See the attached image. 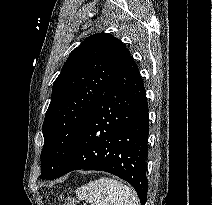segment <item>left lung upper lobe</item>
<instances>
[{"instance_id":"5c2ea615","label":"left lung upper lobe","mask_w":212,"mask_h":205,"mask_svg":"<svg viewBox=\"0 0 212 205\" xmlns=\"http://www.w3.org/2000/svg\"><path fill=\"white\" fill-rule=\"evenodd\" d=\"M127 53L125 45L108 33L91 35L70 53L53 84L42 127L44 146L40 178L58 176L90 112L107 90Z\"/></svg>"}]
</instances>
